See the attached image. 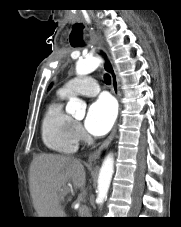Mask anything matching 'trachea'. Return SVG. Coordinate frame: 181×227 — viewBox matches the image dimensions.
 <instances>
[{"mask_svg":"<svg viewBox=\"0 0 181 227\" xmlns=\"http://www.w3.org/2000/svg\"><path fill=\"white\" fill-rule=\"evenodd\" d=\"M104 81L106 84H110L111 83V77L109 74H105L104 75Z\"/></svg>","mask_w":181,"mask_h":227,"instance_id":"3493384b","label":"trachea"}]
</instances>
